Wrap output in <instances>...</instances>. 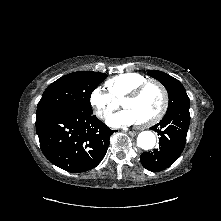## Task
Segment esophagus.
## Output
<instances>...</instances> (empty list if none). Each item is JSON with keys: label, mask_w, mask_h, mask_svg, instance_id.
Listing matches in <instances>:
<instances>
[{"label": "esophagus", "mask_w": 221, "mask_h": 221, "mask_svg": "<svg viewBox=\"0 0 221 221\" xmlns=\"http://www.w3.org/2000/svg\"><path fill=\"white\" fill-rule=\"evenodd\" d=\"M128 133H129V135H131V136H135V135L137 134L135 131H129Z\"/></svg>", "instance_id": "1"}]
</instances>
